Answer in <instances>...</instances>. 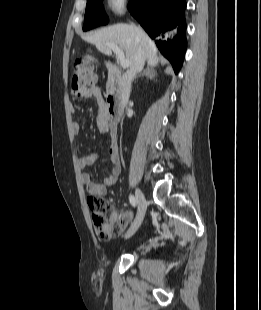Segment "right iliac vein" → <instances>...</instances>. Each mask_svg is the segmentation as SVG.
Here are the masks:
<instances>
[{
  "mask_svg": "<svg viewBox=\"0 0 261 310\" xmlns=\"http://www.w3.org/2000/svg\"><path fill=\"white\" fill-rule=\"evenodd\" d=\"M135 196H136V202L138 205V212H137L136 218H135L132 226L130 227V229L128 230V232L125 235L126 239L130 238L138 230V228L140 227V225L144 219L146 209H147V202H146L145 196L140 189H138V188L136 189Z\"/></svg>",
  "mask_w": 261,
  "mask_h": 310,
  "instance_id": "obj_1",
  "label": "right iliac vein"
}]
</instances>
